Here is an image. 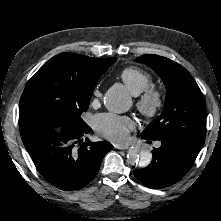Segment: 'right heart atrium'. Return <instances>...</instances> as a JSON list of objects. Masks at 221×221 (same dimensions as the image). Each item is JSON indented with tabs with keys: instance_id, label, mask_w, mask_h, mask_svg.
<instances>
[{
	"instance_id": "obj_1",
	"label": "right heart atrium",
	"mask_w": 221,
	"mask_h": 221,
	"mask_svg": "<svg viewBox=\"0 0 221 221\" xmlns=\"http://www.w3.org/2000/svg\"><path fill=\"white\" fill-rule=\"evenodd\" d=\"M100 95H101L100 88L97 85L93 90V97H94V99H96V98L100 97Z\"/></svg>"
}]
</instances>
